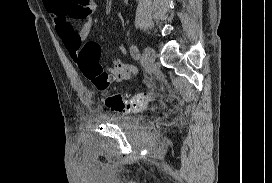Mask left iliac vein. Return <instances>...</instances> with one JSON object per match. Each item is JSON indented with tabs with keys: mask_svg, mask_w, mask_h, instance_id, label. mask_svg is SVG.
Returning a JSON list of instances; mask_svg holds the SVG:
<instances>
[{
	"mask_svg": "<svg viewBox=\"0 0 272 183\" xmlns=\"http://www.w3.org/2000/svg\"><path fill=\"white\" fill-rule=\"evenodd\" d=\"M156 52L154 49L150 47H145L143 50L142 55V62L150 70H153L155 67V61H156Z\"/></svg>",
	"mask_w": 272,
	"mask_h": 183,
	"instance_id": "left-iliac-vein-1",
	"label": "left iliac vein"
}]
</instances>
